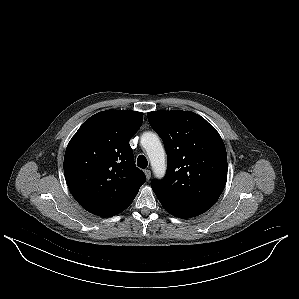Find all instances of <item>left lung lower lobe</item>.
<instances>
[{"label":"left lung lower lobe","instance_id":"left-lung-lower-lobe-1","mask_svg":"<svg viewBox=\"0 0 299 299\" xmlns=\"http://www.w3.org/2000/svg\"><path fill=\"white\" fill-rule=\"evenodd\" d=\"M163 208L173 216L191 218L207 211L211 206L176 204L159 198Z\"/></svg>","mask_w":299,"mask_h":299}]
</instances>
